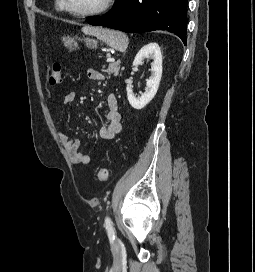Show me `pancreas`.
Returning a JSON list of instances; mask_svg holds the SVG:
<instances>
[{"instance_id": "1", "label": "pancreas", "mask_w": 255, "mask_h": 272, "mask_svg": "<svg viewBox=\"0 0 255 272\" xmlns=\"http://www.w3.org/2000/svg\"><path fill=\"white\" fill-rule=\"evenodd\" d=\"M119 71H120V62L119 61L114 62V63H110L106 70L102 69V72H106L108 75L113 74L115 76H117L119 74Z\"/></svg>"}]
</instances>
